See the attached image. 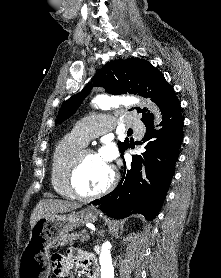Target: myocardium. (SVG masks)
I'll return each mask as SVG.
<instances>
[{
	"label": "myocardium",
	"mask_w": 221,
	"mask_h": 278,
	"mask_svg": "<svg viewBox=\"0 0 221 278\" xmlns=\"http://www.w3.org/2000/svg\"><path fill=\"white\" fill-rule=\"evenodd\" d=\"M91 154H96V151H94L92 148L83 147L81 148L72 158V160L69 163L68 169H67V185L69 188V191L71 194L80 200H91L97 197H100L102 195H105L109 191H111L118 182V173L116 168L113 165H110L111 170V176L109 182L106 184L105 187H103L101 190L92 192V193H85L81 190L79 184H78V173L79 169L81 167V164L83 160Z\"/></svg>",
	"instance_id": "myocardium-1"
}]
</instances>
